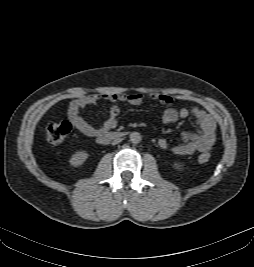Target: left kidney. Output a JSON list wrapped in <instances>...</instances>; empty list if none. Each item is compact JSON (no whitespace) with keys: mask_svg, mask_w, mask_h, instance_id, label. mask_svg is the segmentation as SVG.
I'll return each instance as SVG.
<instances>
[{"mask_svg":"<svg viewBox=\"0 0 254 267\" xmlns=\"http://www.w3.org/2000/svg\"><path fill=\"white\" fill-rule=\"evenodd\" d=\"M174 167H175L176 169H178V170L183 169V165H181V164L178 163V162H175V163H174Z\"/></svg>","mask_w":254,"mask_h":267,"instance_id":"left-kidney-1","label":"left kidney"}]
</instances>
